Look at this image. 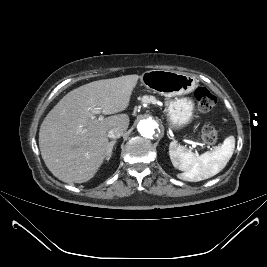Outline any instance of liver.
Masks as SVG:
<instances>
[{
  "label": "liver",
  "instance_id": "6515ba94",
  "mask_svg": "<svg viewBox=\"0 0 267 267\" xmlns=\"http://www.w3.org/2000/svg\"><path fill=\"white\" fill-rule=\"evenodd\" d=\"M139 75L94 81L67 93L47 114L39 131V148L50 172L66 183H83L97 173L109 153L108 131L128 128L127 114L96 119L124 111Z\"/></svg>",
  "mask_w": 267,
  "mask_h": 267
}]
</instances>
